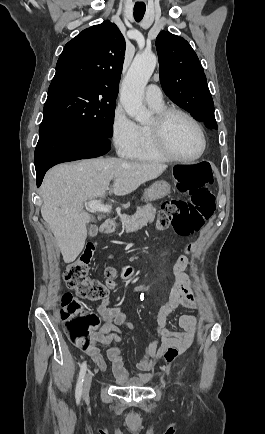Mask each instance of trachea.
Here are the masks:
<instances>
[{"mask_svg": "<svg viewBox=\"0 0 265 434\" xmlns=\"http://www.w3.org/2000/svg\"><path fill=\"white\" fill-rule=\"evenodd\" d=\"M145 10H146V6L144 3H135L133 14L137 22H140V20H142L145 14Z\"/></svg>", "mask_w": 265, "mask_h": 434, "instance_id": "1", "label": "trachea"}]
</instances>
